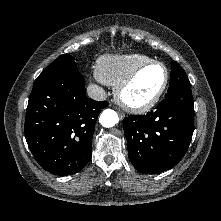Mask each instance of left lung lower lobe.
Instances as JSON below:
<instances>
[{"mask_svg": "<svg viewBox=\"0 0 221 221\" xmlns=\"http://www.w3.org/2000/svg\"><path fill=\"white\" fill-rule=\"evenodd\" d=\"M129 160L141 173H160L185 155L194 131L191 85L167 93L154 111L123 120Z\"/></svg>", "mask_w": 221, "mask_h": 221, "instance_id": "obj_1", "label": "left lung lower lobe"}]
</instances>
